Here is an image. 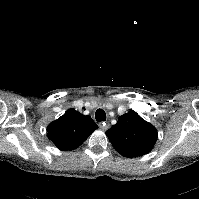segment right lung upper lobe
Returning a JSON list of instances; mask_svg holds the SVG:
<instances>
[{
    "mask_svg": "<svg viewBox=\"0 0 199 199\" xmlns=\"http://www.w3.org/2000/svg\"><path fill=\"white\" fill-rule=\"evenodd\" d=\"M98 125L90 116L69 109L47 127L48 138L60 150L68 151L79 147Z\"/></svg>",
    "mask_w": 199,
    "mask_h": 199,
    "instance_id": "1",
    "label": "right lung upper lobe"
}]
</instances>
